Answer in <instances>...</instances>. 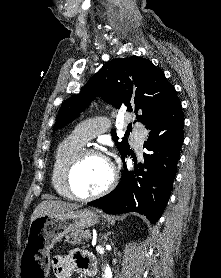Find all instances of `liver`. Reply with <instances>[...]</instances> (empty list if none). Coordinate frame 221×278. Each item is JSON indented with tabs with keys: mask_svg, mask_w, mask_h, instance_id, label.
Instances as JSON below:
<instances>
[{
	"mask_svg": "<svg viewBox=\"0 0 221 278\" xmlns=\"http://www.w3.org/2000/svg\"><path fill=\"white\" fill-rule=\"evenodd\" d=\"M78 208L79 206L76 204L66 203L63 201H51V200L42 201L35 208L31 216V222L42 215L53 214V213H65L71 210H76Z\"/></svg>",
	"mask_w": 221,
	"mask_h": 278,
	"instance_id": "obj_1",
	"label": "liver"
}]
</instances>
